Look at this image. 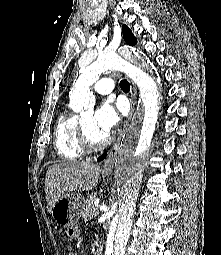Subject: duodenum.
Returning a JSON list of instances; mask_svg holds the SVG:
<instances>
[{
  "mask_svg": "<svg viewBox=\"0 0 221 255\" xmlns=\"http://www.w3.org/2000/svg\"><path fill=\"white\" fill-rule=\"evenodd\" d=\"M94 255H102V252L100 249H97L95 252H94Z\"/></svg>",
  "mask_w": 221,
  "mask_h": 255,
  "instance_id": "obj_1",
  "label": "duodenum"
}]
</instances>
